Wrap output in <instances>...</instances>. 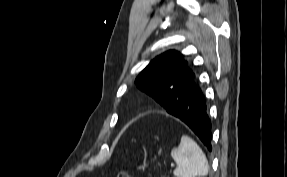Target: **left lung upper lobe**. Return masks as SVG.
<instances>
[{
  "mask_svg": "<svg viewBox=\"0 0 287 177\" xmlns=\"http://www.w3.org/2000/svg\"><path fill=\"white\" fill-rule=\"evenodd\" d=\"M194 77L181 53L169 50L152 60L135 83L169 112V99L186 87L195 85Z\"/></svg>",
  "mask_w": 287,
  "mask_h": 177,
  "instance_id": "left-lung-upper-lobe-1",
  "label": "left lung upper lobe"
}]
</instances>
